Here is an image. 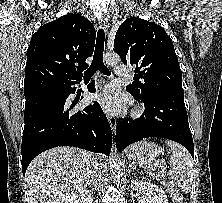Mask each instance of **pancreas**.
Wrapping results in <instances>:
<instances>
[{"label":"pancreas","mask_w":222,"mask_h":203,"mask_svg":"<svg viewBox=\"0 0 222 203\" xmlns=\"http://www.w3.org/2000/svg\"><path fill=\"white\" fill-rule=\"evenodd\" d=\"M143 168L148 171L150 175L156 177L157 179L163 178L166 174V165L163 161L158 160H145L143 161Z\"/></svg>","instance_id":"1"}]
</instances>
